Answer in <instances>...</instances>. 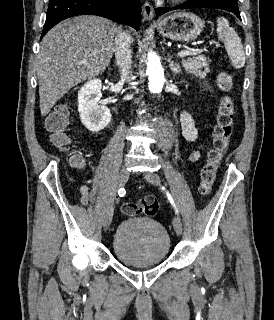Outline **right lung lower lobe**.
I'll return each instance as SVG.
<instances>
[{
	"mask_svg": "<svg viewBox=\"0 0 274 320\" xmlns=\"http://www.w3.org/2000/svg\"><path fill=\"white\" fill-rule=\"evenodd\" d=\"M140 0H50L41 38L60 21L77 15H98L137 31L141 25Z\"/></svg>",
	"mask_w": 274,
	"mask_h": 320,
	"instance_id": "right-lung-lower-lobe-1",
	"label": "right lung lower lobe"
}]
</instances>
